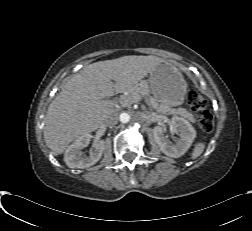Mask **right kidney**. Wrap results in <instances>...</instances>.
Wrapping results in <instances>:
<instances>
[{"mask_svg": "<svg viewBox=\"0 0 252 231\" xmlns=\"http://www.w3.org/2000/svg\"><path fill=\"white\" fill-rule=\"evenodd\" d=\"M91 139L90 134L83 135L75 140L65 151L64 161L70 168H88L98 162L105 149L103 140L94 144V149L90 151L89 156H82L81 150L88 146Z\"/></svg>", "mask_w": 252, "mask_h": 231, "instance_id": "right-kidney-1", "label": "right kidney"}]
</instances>
